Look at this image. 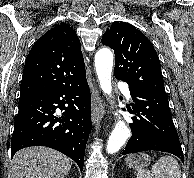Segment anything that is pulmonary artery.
I'll return each mask as SVG.
<instances>
[{
    "label": "pulmonary artery",
    "instance_id": "obj_1",
    "mask_svg": "<svg viewBox=\"0 0 194 178\" xmlns=\"http://www.w3.org/2000/svg\"><path fill=\"white\" fill-rule=\"evenodd\" d=\"M120 86H121V89H122V92L124 93V95L127 98H130L131 95H130V90H129L128 86L122 85V84H120Z\"/></svg>",
    "mask_w": 194,
    "mask_h": 178
}]
</instances>
